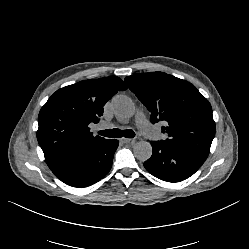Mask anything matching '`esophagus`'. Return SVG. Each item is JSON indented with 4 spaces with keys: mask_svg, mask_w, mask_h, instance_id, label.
<instances>
[{
    "mask_svg": "<svg viewBox=\"0 0 249 249\" xmlns=\"http://www.w3.org/2000/svg\"><path fill=\"white\" fill-rule=\"evenodd\" d=\"M120 140H121L122 143H125V144H129V143L134 142L133 139H128V138H121Z\"/></svg>",
    "mask_w": 249,
    "mask_h": 249,
    "instance_id": "esophagus-1",
    "label": "esophagus"
}]
</instances>
